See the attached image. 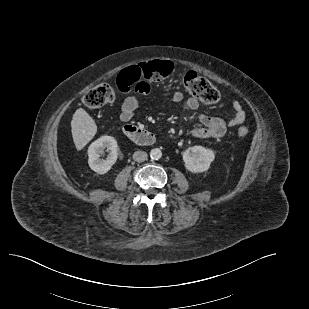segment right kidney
Returning a JSON list of instances; mask_svg holds the SVG:
<instances>
[{
  "label": "right kidney",
  "mask_w": 309,
  "mask_h": 309,
  "mask_svg": "<svg viewBox=\"0 0 309 309\" xmlns=\"http://www.w3.org/2000/svg\"><path fill=\"white\" fill-rule=\"evenodd\" d=\"M107 147L110 152L106 160L100 158L103 149ZM117 141L112 136H102L94 141L88 148L89 167L97 174L107 173L118 158Z\"/></svg>",
  "instance_id": "ca27d5eb"
}]
</instances>
